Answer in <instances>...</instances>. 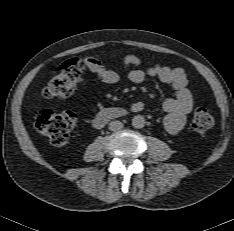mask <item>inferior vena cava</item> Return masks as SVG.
<instances>
[{"label":"inferior vena cava","mask_w":234,"mask_h":231,"mask_svg":"<svg viewBox=\"0 0 234 231\" xmlns=\"http://www.w3.org/2000/svg\"><path fill=\"white\" fill-rule=\"evenodd\" d=\"M123 126H124L123 123L118 121V120L111 121L109 123V129L111 131H119V130H121L123 128Z\"/></svg>","instance_id":"obj_1"}]
</instances>
